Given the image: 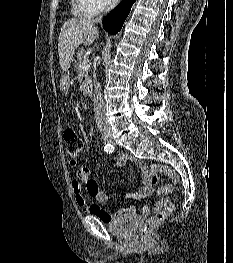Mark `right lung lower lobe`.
Listing matches in <instances>:
<instances>
[{"label": "right lung lower lobe", "instance_id": "98d812e1", "mask_svg": "<svg viewBox=\"0 0 233 263\" xmlns=\"http://www.w3.org/2000/svg\"><path fill=\"white\" fill-rule=\"evenodd\" d=\"M135 0H123L102 21L104 29L110 34L121 30Z\"/></svg>", "mask_w": 233, "mask_h": 263}]
</instances>
